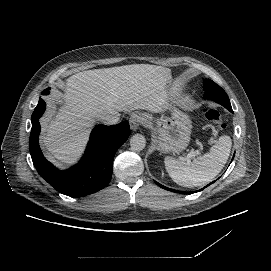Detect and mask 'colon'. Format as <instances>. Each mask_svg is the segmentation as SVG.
I'll list each match as a JSON object with an SVG mask.
<instances>
[{
  "label": "colon",
  "instance_id": "1",
  "mask_svg": "<svg viewBox=\"0 0 271 271\" xmlns=\"http://www.w3.org/2000/svg\"><path fill=\"white\" fill-rule=\"evenodd\" d=\"M203 114L208 121L216 124L219 128H224L223 121L218 111L206 107L203 109Z\"/></svg>",
  "mask_w": 271,
  "mask_h": 271
}]
</instances>
